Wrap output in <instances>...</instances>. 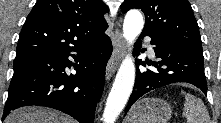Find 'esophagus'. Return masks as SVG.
I'll return each mask as SVG.
<instances>
[{
  "label": "esophagus",
  "mask_w": 221,
  "mask_h": 123,
  "mask_svg": "<svg viewBox=\"0 0 221 123\" xmlns=\"http://www.w3.org/2000/svg\"><path fill=\"white\" fill-rule=\"evenodd\" d=\"M125 51V41L119 30H116L114 37V49L106 67V80L109 81L113 76L117 64L122 58Z\"/></svg>",
  "instance_id": "1"
}]
</instances>
